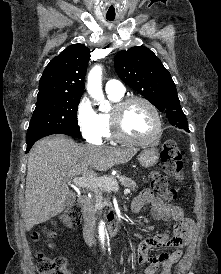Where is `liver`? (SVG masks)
<instances>
[{
	"instance_id": "6515ba94",
	"label": "liver",
	"mask_w": 221,
	"mask_h": 274,
	"mask_svg": "<svg viewBox=\"0 0 221 274\" xmlns=\"http://www.w3.org/2000/svg\"><path fill=\"white\" fill-rule=\"evenodd\" d=\"M137 149L80 145L72 139L53 135L34 144L27 163L24 223L27 231L65 209L69 195L67 182L74 176L96 178V171H107L127 163Z\"/></svg>"
}]
</instances>
